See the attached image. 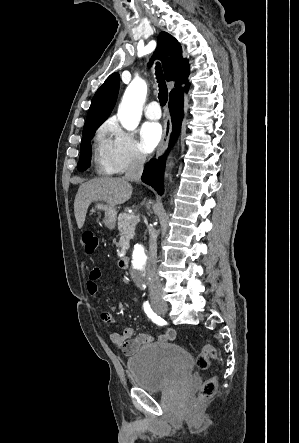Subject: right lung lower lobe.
Wrapping results in <instances>:
<instances>
[{"label": "right lung lower lobe", "mask_w": 299, "mask_h": 443, "mask_svg": "<svg viewBox=\"0 0 299 443\" xmlns=\"http://www.w3.org/2000/svg\"><path fill=\"white\" fill-rule=\"evenodd\" d=\"M187 89L188 84L185 87V91ZM183 104V89H176L170 94L169 98V108L173 125L170 146H172L175 142L180 130L183 119ZM166 154L167 152L163 156L159 157L158 160L152 159L149 163H147L141 177L144 183L152 186L160 195L163 193V174L165 169Z\"/></svg>", "instance_id": "right-lung-lower-lobe-1"}]
</instances>
